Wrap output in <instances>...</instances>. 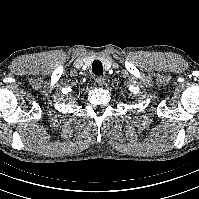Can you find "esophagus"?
I'll return each instance as SVG.
<instances>
[{"instance_id": "esophagus-1", "label": "esophagus", "mask_w": 199, "mask_h": 199, "mask_svg": "<svg viewBox=\"0 0 199 199\" xmlns=\"http://www.w3.org/2000/svg\"><path fill=\"white\" fill-rule=\"evenodd\" d=\"M105 81H106V79L104 77H102V76L96 78V82H97V84L99 86H104L105 85Z\"/></svg>"}]
</instances>
